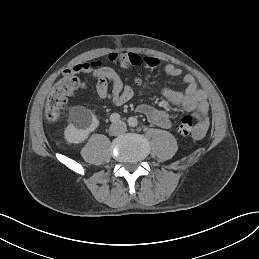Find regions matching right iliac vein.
<instances>
[{"instance_id": "1", "label": "right iliac vein", "mask_w": 259, "mask_h": 259, "mask_svg": "<svg viewBox=\"0 0 259 259\" xmlns=\"http://www.w3.org/2000/svg\"><path fill=\"white\" fill-rule=\"evenodd\" d=\"M111 131L116 132L117 131L116 127H112Z\"/></svg>"}]
</instances>
